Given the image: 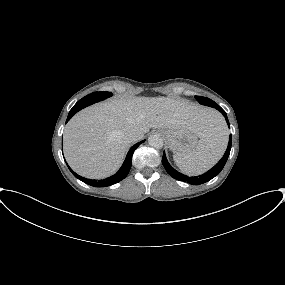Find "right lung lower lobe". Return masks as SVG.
<instances>
[{
    "label": "right lung lower lobe",
    "mask_w": 285,
    "mask_h": 285,
    "mask_svg": "<svg viewBox=\"0 0 285 285\" xmlns=\"http://www.w3.org/2000/svg\"><path fill=\"white\" fill-rule=\"evenodd\" d=\"M90 102H92V101H90ZM87 104H88V103H86V104L83 103V104H81V105H74L73 108L70 110V112H69V114H68V117H67L66 122H68V121L71 119V117H72L76 112L79 111V109L81 110V109H82V108H81L82 106H85V105H87ZM143 142H144V140L141 141V142H139V143H137V144H135L134 146H132V147L130 148V150H129L127 156H126V159H125L123 165H122L121 168L119 169V171H118L116 174H114V175H112V176H110V177H108V178H106V179H103V180L87 179V178L81 177L80 175L76 174V173H75L74 171H72L70 168H69V169H70V171L72 172V174H73L76 178H78L79 180L83 181L84 183H86V184H88V185H90V186H94V187H106V186L113 185V184H115V183L120 182L121 180H123V179L127 176V174L129 173V170H130V168H131V164H132V155H133L135 149H136L141 143H143Z\"/></svg>",
    "instance_id": "obj_1"
}]
</instances>
